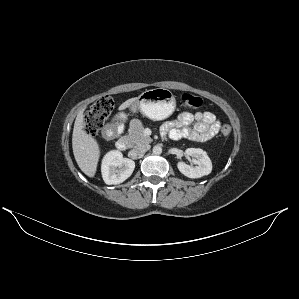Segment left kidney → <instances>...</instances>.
<instances>
[{
	"label": "left kidney",
	"instance_id": "obj_1",
	"mask_svg": "<svg viewBox=\"0 0 299 299\" xmlns=\"http://www.w3.org/2000/svg\"><path fill=\"white\" fill-rule=\"evenodd\" d=\"M185 153L192 157L195 167L187 165L184 162H178L179 171L188 178H200L208 175L212 171V163L207 152L200 148H188Z\"/></svg>",
	"mask_w": 299,
	"mask_h": 299
}]
</instances>
